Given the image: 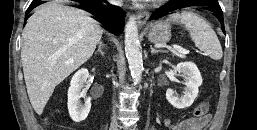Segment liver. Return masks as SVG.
<instances>
[{
    "label": "liver",
    "instance_id": "liver-1",
    "mask_svg": "<svg viewBox=\"0 0 257 130\" xmlns=\"http://www.w3.org/2000/svg\"><path fill=\"white\" fill-rule=\"evenodd\" d=\"M102 32L88 13L58 2L40 6L27 20L21 62L37 114H42L55 87L92 56Z\"/></svg>",
    "mask_w": 257,
    "mask_h": 130
}]
</instances>
